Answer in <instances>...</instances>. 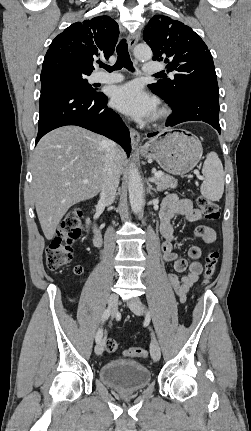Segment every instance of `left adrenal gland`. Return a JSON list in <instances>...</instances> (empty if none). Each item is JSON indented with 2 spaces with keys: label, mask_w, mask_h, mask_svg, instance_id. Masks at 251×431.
I'll return each instance as SVG.
<instances>
[{
  "label": "left adrenal gland",
  "mask_w": 251,
  "mask_h": 431,
  "mask_svg": "<svg viewBox=\"0 0 251 431\" xmlns=\"http://www.w3.org/2000/svg\"><path fill=\"white\" fill-rule=\"evenodd\" d=\"M147 185H148V190H149V192H150V190H152V191H154L155 193H157V190L155 189V188H153V186L151 185V183L148 181L147 182Z\"/></svg>",
  "instance_id": "left-adrenal-gland-1"
}]
</instances>
